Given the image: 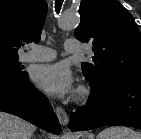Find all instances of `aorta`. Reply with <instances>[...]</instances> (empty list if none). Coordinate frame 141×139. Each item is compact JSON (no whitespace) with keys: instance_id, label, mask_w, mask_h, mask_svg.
Segmentation results:
<instances>
[{"instance_id":"1","label":"aorta","mask_w":141,"mask_h":139,"mask_svg":"<svg viewBox=\"0 0 141 139\" xmlns=\"http://www.w3.org/2000/svg\"><path fill=\"white\" fill-rule=\"evenodd\" d=\"M80 18L76 12H66L59 20V27L63 30H70L79 24Z\"/></svg>"}]
</instances>
